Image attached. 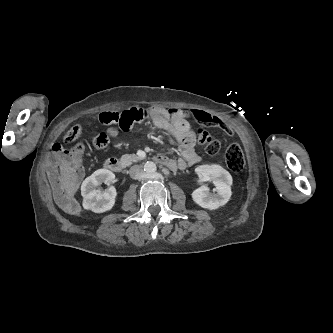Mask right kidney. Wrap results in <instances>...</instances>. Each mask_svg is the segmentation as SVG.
I'll return each instance as SVG.
<instances>
[{
  "instance_id": "right-kidney-1",
  "label": "right kidney",
  "mask_w": 333,
  "mask_h": 333,
  "mask_svg": "<svg viewBox=\"0 0 333 333\" xmlns=\"http://www.w3.org/2000/svg\"><path fill=\"white\" fill-rule=\"evenodd\" d=\"M115 179V174L107 169H99L87 177L81 185L83 207L95 213L110 210L115 204L116 189L109 187L101 191L97 187L102 183L110 185Z\"/></svg>"
}]
</instances>
